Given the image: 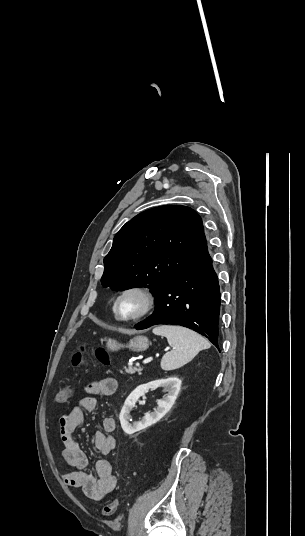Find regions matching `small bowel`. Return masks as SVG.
I'll return each mask as SVG.
<instances>
[{"instance_id": "small-bowel-1", "label": "small bowel", "mask_w": 305, "mask_h": 536, "mask_svg": "<svg viewBox=\"0 0 305 536\" xmlns=\"http://www.w3.org/2000/svg\"><path fill=\"white\" fill-rule=\"evenodd\" d=\"M88 396L82 398L72 409L59 420L60 439L63 445L61 452L64 463L73 470L65 474V483L81 488L84 494L95 501H100L109 495L117 486V478L113 473L111 462L106 458L96 461L97 476L87 470L88 460L79 447L74 433L84 419V411H93L97 405L96 396L112 395L117 390V381L113 377H103L89 383L86 388ZM115 421L111 417L102 420L101 430L93 434V445L102 455H110L115 448L113 432Z\"/></svg>"}]
</instances>
